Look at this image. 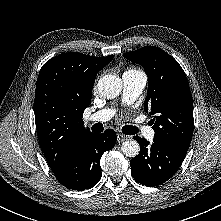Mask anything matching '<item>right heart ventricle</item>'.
<instances>
[{
	"label": "right heart ventricle",
	"instance_id": "right-heart-ventricle-1",
	"mask_svg": "<svg viewBox=\"0 0 221 221\" xmlns=\"http://www.w3.org/2000/svg\"><path fill=\"white\" fill-rule=\"evenodd\" d=\"M127 71H129V72H141L140 70H138L136 68H129Z\"/></svg>",
	"mask_w": 221,
	"mask_h": 221
}]
</instances>
